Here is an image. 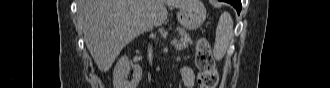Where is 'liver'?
<instances>
[{
	"instance_id": "liver-1",
	"label": "liver",
	"mask_w": 330,
	"mask_h": 88,
	"mask_svg": "<svg viewBox=\"0 0 330 88\" xmlns=\"http://www.w3.org/2000/svg\"><path fill=\"white\" fill-rule=\"evenodd\" d=\"M189 3L190 0H80L78 18L92 58L100 71L106 72L128 43L165 22V5L181 9Z\"/></svg>"
}]
</instances>
